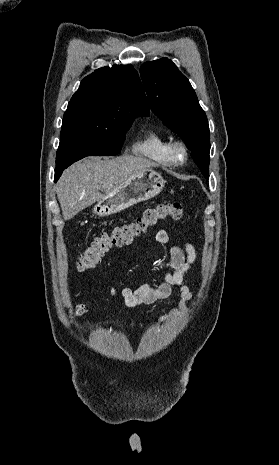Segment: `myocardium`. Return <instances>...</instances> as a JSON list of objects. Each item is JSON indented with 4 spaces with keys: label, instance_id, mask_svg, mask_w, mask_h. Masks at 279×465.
Instances as JSON below:
<instances>
[{
    "label": "myocardium",
    "instance_id": "1",
    "mask_svg": "<svg viewBox=\"0 0 279 465\" xmlns=\"http://www.w3.org/2000/svg\"><path fill=\"white\" fill-rule=\"evenodd\" d=\"M171 160L175 164H182L188 156V149L185 143L181 140H173L169 143L168 147Z\"/></svg>",
    "mask_w": 279,
    "mask_h": 465
}]
</instances>
